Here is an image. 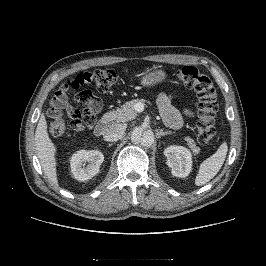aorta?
Instances as JSON below:
<instances>
[{"instance_id": "1", "label": "aorta", "mask_w": 266, "mask_h": 266, "mask_svg": "<svg viewBox=\"0 0 266 266\" xmlns=\"http://www.w3.org/2000/svg\"><path fill=\"white\" fill-rule=\"evenodd\" d=\"M131 141L134 144L150 147L155 141V136L151 130H143L140 127H136L131 132Z\"/></svg>"}]
</instances>
